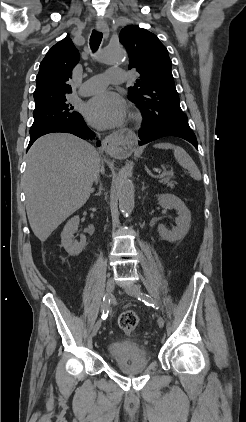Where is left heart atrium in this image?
Here are the masks:
<instances>
[{"instance_id":"left-heart-atrium-1","label":"left heart atrium","mask_w":246,"mask_h":422,"mask_svg":"<svg viewBox=\"0 0 246 422\" xmlns=\"http://www.w3.org/2000/svg\"><path fill=\"white\" fill-rule=\"evenodd\" d=\"M85 113L90 124L97 128L108 129L124 123L127 107L118 94L106 91L88 101Z\"/></svg>"}]
</instances>
